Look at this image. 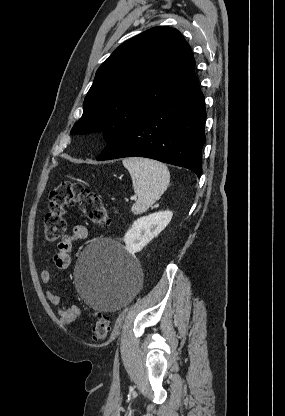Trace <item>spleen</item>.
I'll return each instance as SVG.
<instances>
[{
	"label": "spleen",
	"instance_id": "obj_1",
	"mask_svg": "<svg viewBox=\"0 0 285 416\" xmlns=\"http://www.w3.org/2000/svg\"><path fill=\"white\" fill-rule=\"evenodd\" d=\"M123 166L128 170L132 178L133 190L138 196L131 212L143 214L167 190L170 172L165 164L148 158H124Z\"/></svg>",
	"mask_w": 285,
	"mask_h": 416
}]
</instances>
